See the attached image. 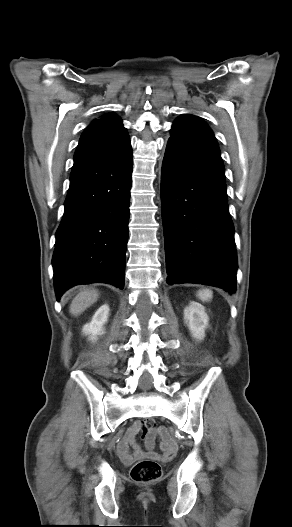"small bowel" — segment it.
I'll return each mask as SVG.
<instances>
[{"mask_svg":"<svg viewBox=\"0 0 292 527\" xmlns=\"http://www.w3.org/2000/svg\"><path fill=\"white\" fill-rule=\"evenodd\" d=\"M140 431L147 435L146 444L149 448H151L153 445V438L155 437V435H158L160 437V449L162 451L161 458H159V456H157V454L153 451L145 452L142 450V448L136 441V436ZM166 432L167 429L163 427L160 423L154 424L153 430H145L142 427V423H136L129 428L123 439L118 443L117 453L120 458L124 462H126L125 466L127 468H130L132 466L131 462L134 459H139L147 456L152 457L151 461L154 464H157L159 463V461H161L162 464L167 465L171 461L170 457H172L176 452V444ZM130 449H133L132 453Z\"/></svg>","mask_w":292,"mask_h":527,"instance_id":"1","label":"small bowel"}]
</instances>
